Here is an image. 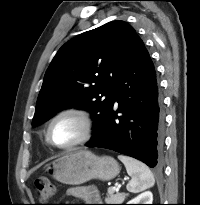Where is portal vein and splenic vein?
<instances>
[{
	"label": "portal vein and splenic vein",
	"mask_w": 200,
	"mask_h": 205,
	"mask_svg": "<svg viewBox=\"0 0 200 205\" xmlns=\"http://www.w3.org/2000/svg\"><path fill=\"white\" fill-rule=\"evenodd\" d=\"M112 189H113V190H118V187H117V186H114Z\"/></svg>",
	"instance_id": "portal-vein-and-splenic-vein-1"
}]
</instances>
